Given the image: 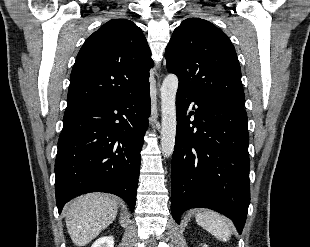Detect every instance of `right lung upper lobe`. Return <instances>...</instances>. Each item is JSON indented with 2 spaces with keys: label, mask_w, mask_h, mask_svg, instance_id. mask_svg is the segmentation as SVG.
Instances as JSON below:
<instances>
[{
  "label": "right lung upper lobe",
  "mask_w": 310,
  "mask_h": 247,
  "mask_svg": "<svg viewBox=\"0 0 310 247\" xmlns=\"http://www.w3.org/2000/svg\"><path fill=\"white\" fill-rule=\"evenodd\" d=\"M151 51L141 29L112 19L81 47L70 76L68 106L125 97L149 87Z\"/></svg>",
  "instance_id": "right-lung-upper-lobe-1"
}]
</instances>
